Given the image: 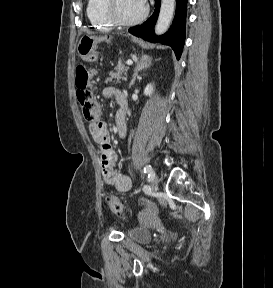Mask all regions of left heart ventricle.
Listing matches in <instances>:
<instances>
[{"label": "left heart ventricle", "instance_id": "b2bd125f", "mask_svg": "<svg viewBox=\"0 0 273 288\" xmlns=\"http://www.w3.org/2000/svg\"><path fill=\"white\" fill-rule=\"evenodd\" d=\"M144 3L141 0H116L115 13L120 19L131 20L141 15Z\"/></svg>", "mask_w": 273, "mask_h": 288}]
</instances>
